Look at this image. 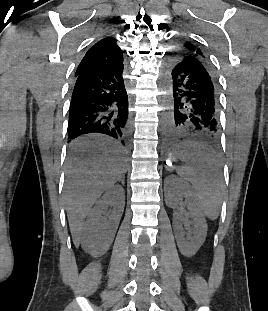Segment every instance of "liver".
Masks as SVG:
<instances>
[{"instance_id": "liver-1", "label": "liver", "mask_w": 268, "mask_h": 311, "mask_svg": "<svg viewBox=\"0 0 268 311\" xmlns=\"http://www.w3.org/2000/svg\"><path fill=\"white\" fill-rule=\"evenodd\" d=\"M126 159L118 144L78 140L67 163L65 203L72 239L79 244L84 220L101 194L123 178Z\"/></svg>"}]
</instances>
